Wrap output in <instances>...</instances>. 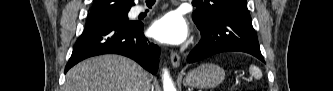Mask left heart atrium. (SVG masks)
Segmentation results:
<instances>
[{
  "instance_id": "39dd6f15",
  "label": "left heart atrium",
  "mask_w": 333,
  "mask_h": 91,
  "mask_svg": "<svg viewBox=\"0 0 333 91\" xmlns=\"http://www.w3.org/2000/svg\"><path fill=\"white\" fill-rule=\"evenodd\" d=\"M189 33L186 20L177 12H169L156 19L151 27V36L160 43L178 45L183 43Z\"/></svg>"
}]
</instances>
